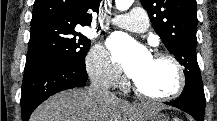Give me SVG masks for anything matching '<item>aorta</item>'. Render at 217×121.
<instances>
[{"label": "aorta", "mask_w": 217, "mask_h": 121, "mask_svg": "<svg viewBox=\"0 0 217 121\" xmlns=\"http://www.w3.org/2000/svg\"><path fill=\"white\" fill-rule=\"evenodd\" d=\"M134 0H115L116 8L120 11H125L131 7Z\"/></svg>", "instance_id": "1"}]
</instances>
